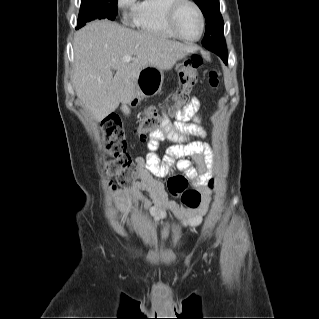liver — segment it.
I'll return each instance as SVG.
<instances>
[{
    "instance_id": "obj_1",
    "label": "liver",
    "mask_w": 319,
    "mask_h": 319,
    "mask_svg": "<svg viewBox=\"0 0 319 319\" xmlns=\"http://www.w3.org/2000/svg\"><path fill=\"white\" fill-rule=\"evenodd\" d=\"M73 48L75 92L96 121L137 97L141 69L169 70L177 60L196 51L191 45L108 20L90 22L77 31ZM123 56L134 57L123 61Z\"/></svg>"
}]
</instances>
